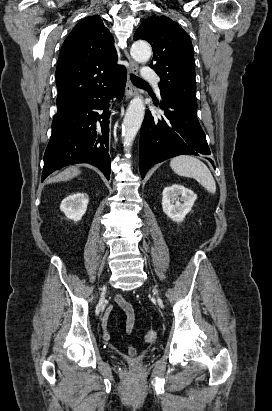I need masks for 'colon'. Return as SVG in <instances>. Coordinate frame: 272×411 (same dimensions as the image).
Instances as JSON below:
<instances>
[{
    "instance_id": "5ec220e1",
    "label": "colon",
    "mask_w": 272,
    "mask_h": 411,
    "mask_svg": "<svg viewBox=\"0 0 272 411\" xmlns=\"http://www.w3.org/2000/svg\"><path fill=\"white\" fill-rule=\"evenodd\" d=\"M144 339L146 342L151 343L154 342L157 339V333L156 331L150 330L146 332Z\"/></svg>"
}]
</instances>
